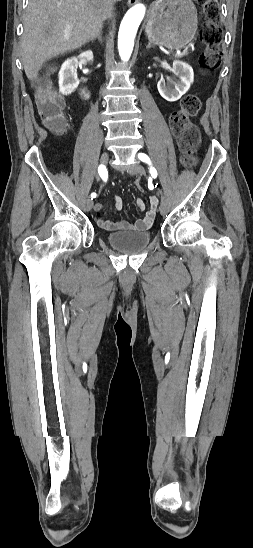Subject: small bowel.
Wrapping results in <instances>:
<instances>
[{"instance_id": "obj_1", "label": "small bowel", "mask_w": 253, "mask_h": 548, "mask_svg": "<svg viewBox=\"0 0 253 548\" xmlns=\"http://www.w3.org/2000/svg\"><path fill=\"white\" fill-rule=\"evenodd\" d=\"M150 207L145 211V203L141 198L136 199V207L139 211L144 212L142 218L138 219L135 223H129L128 221L122 220L114 222L111 220H104L100 216V211L102 210V204L96 203L94 210L96 212V222L101 228L114 231V230H134V231H143L146 230L152 223L155 217V211L158 205V199L156 197L150 198ZM114 207L118 210L122 208V199L119 196L114 197Z\"/></svg>"}]
</instances>
